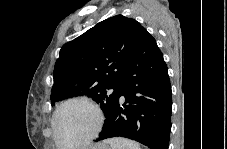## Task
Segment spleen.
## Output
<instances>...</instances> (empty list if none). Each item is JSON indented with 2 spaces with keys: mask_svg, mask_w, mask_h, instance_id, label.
<instances>
[{
  "mask_svg": "<svg viewBox=\"0 0 227 149\" xmlns=\"http://www.w3.org/2000/svg\"><path fill=\"white\" fill-rule=\"evenodd\" d=\"M106 143L110 145V149H140L138 143L122 137L108 139Z\"/></svg>",
  "mask_w": 227,
  "mask_h": 149,
  "instance_id": "1",
  "label": "spleen"
}]
</instances>
